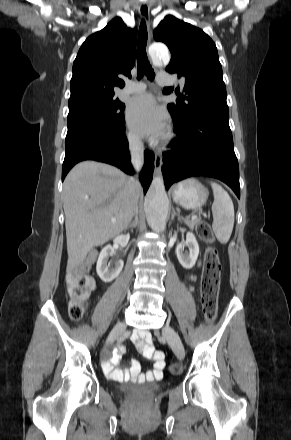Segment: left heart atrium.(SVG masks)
<instances>
[{"instance_id": "1", "label": "left heart atrium", "mask_w": 291, "mask_h": 440, "mask_svg": "<svg viewBox=\"0 0 291 440\" xmlns=\"http://www.w3.org/2000/svg\"><path fill=\"white\" fill-rule=\"evenodd\" d=\"M126 116L131 129L140 136L161 137L168 124L166 112L148 94L131 99Z\"/></svg>"}]
</instances>
